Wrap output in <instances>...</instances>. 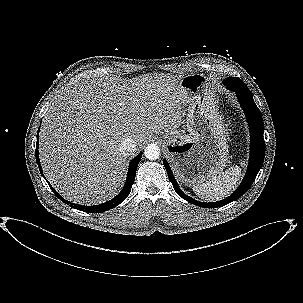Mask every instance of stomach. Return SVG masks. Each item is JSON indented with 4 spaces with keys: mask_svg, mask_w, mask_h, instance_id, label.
<instances>
[{
    "mask_svg": "<svg viewBox=\"0 0 303 303\" xmlns=\"http://www.w3.org/2000/svg\"><path fill=\"white\" fill-rule=\"evenodd\" d=\"M179 85L186 93L182 106L187 111L188 134L166 133V151L178 179L197 185L227 165V134L208 78L191 74L182 77Z\"/></svg>",
    "mask_w": 303,
    "mask_h": 303,
    "instance_id": "0dacf381",
    "label": "stomach"
}]
</instances>
